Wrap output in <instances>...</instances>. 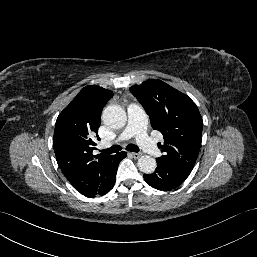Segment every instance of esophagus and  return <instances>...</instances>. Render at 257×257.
Instances as JSON below:
<instances>
[{"instance_id":"34e87169","label":"esophagus","mask_w":257,"mask_h":257,"mask_svg":"<svg viewBox=\"0 0 257 257\" xmlns=\"http://www.w3.org/2000/svg\"><path fill=\"white\" fill-rule=\"evenodd\" d=\"M134 158H139L142 154L141 153H130Z\"/></svg>"}]
</instances>
